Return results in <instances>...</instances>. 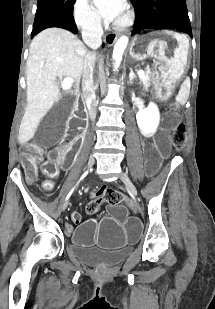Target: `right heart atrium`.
<instances>
[{
	"label": "right heart atrium",
	"instance_id": "d8ad5b80",
	"mask_svg": "<svg viewBox=\"0 0 215 309\" xmlns=\"http://www.w3.org/2000/svg\"><path fill=\"white\" fill-rule=\"evenodd\" d=\"M88 6V0H78V7L75 11V19L78 29L83 33L90 34L91 32H95L100 29V23L97 19V15Z\"/></svg>",
	"mask_w": 215,
	"mask_h": 309
}]
</instances>
